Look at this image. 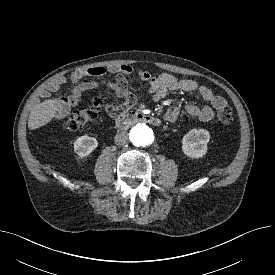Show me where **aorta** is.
Here are the masks:
<instances>
[{
	"label": "aorta",
	"mask_w": 275,
	"mask_h": 275,
	"mask_svg": "<svg viewBox=\"0 0 275 275\" xmlns=\"http://www.w3.org/2000/svg\"><path fill=\"white\" fill-rule=\"evenodd\" d=\"M130 138L135 146H148L153 142V131L145 124H137L131 129Z\"/></svg>",
	"instance_id": "obj_1"
}]
</instances>
